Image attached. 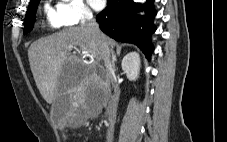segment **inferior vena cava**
<instances>
[{
	"instance_id": "1",
	"label": "inferior vena cava",
	"mask_w": 227,
	"mask_h": 142,
	"mask_svg": "<svg viewBox=\"0 0 227 142\" xmlns=\"http://www.w3.org/2000/svg\"><path fill=\"white\" fill-rule=\"evenodd\" d=\"M81 27L92 36V38L96 41L99 46V50L101 52V57L105 63V72H104V80L105 84L108 86L109 84H113L114 82V67L112 61L110 59L111 50L108 44L105 42L103 34L101 33L98 23L93 18V15L90 11H85L83 15V19L81 22ZM119 94L116 90H114L113 95L111 96L109 105H108V122L109 127L107 131V142L112 141L113 129L115 125V117L117 111Z\"/></svg>"
}]
</instances>
